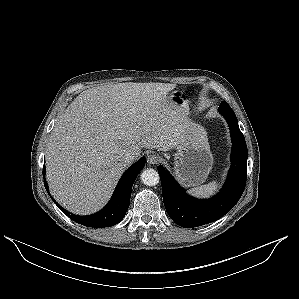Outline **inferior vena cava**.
<instances>
[{"label":"inferior vena cava","instance_id":"obj_1","mask_svg":"<svg viewBox=\"0 0 299 299\" xmlns=\"http://www.w3.org/2000/svg\"><path fill=\"white\" fill-rule=\"evenodd\" d=\"M136 157H137V154L134 152V151H127L125 154H124V156H123V158H122V161L126 164V165H130V164H132L134 161H135V159H136Z\"/></svg>","mask_w":299,"mask_h":299}]
</instances>
